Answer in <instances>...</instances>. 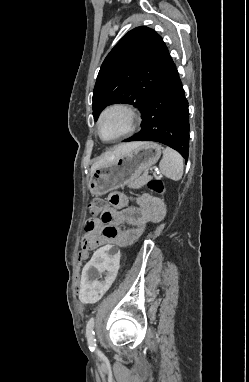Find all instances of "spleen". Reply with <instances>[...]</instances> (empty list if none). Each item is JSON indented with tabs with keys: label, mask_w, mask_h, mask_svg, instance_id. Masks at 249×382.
Masks as SVG:
<instances>
[{
	"label": "spleen",
	"mask_w": 249,
	"mask_h": 382,
	"mask_svg": "<svg viewBox=\"0 0 249 382\" xmlns=\"http://www.w3.org/2000/svg\"><path fill=\"white\" fill-rule=\"evenodd\" d=\"M160 171L167 178L178 181L183 175V158L175 150L166 147L163 150V157L159 163Z\"/></svg>",
	"instance_id": "1"
}]
</instances>
